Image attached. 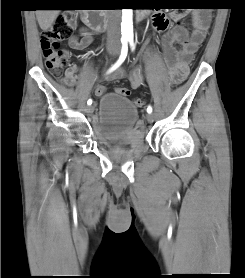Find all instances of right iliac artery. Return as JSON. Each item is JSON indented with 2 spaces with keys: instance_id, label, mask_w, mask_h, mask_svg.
Returning <instances> with one entry per match:
<instances>
[{
  "instance_id": "right-iliac-artery-1",
  "label": "right iliac artery",
  "mask_w": 245,
  "mask_h": 278,
  "mask_svg": "<svg viewBox=\"0 0 245 278\" xmlns=\"http://www.w3.org/2000/svg\"><path fill=\"white\" fill-rule=\"evenodd\" d=\"M121 42H122V50H121L120 58H119V60L111 67L110 72H111L112 70H114L115 68H117L118 66H120V65L122 64V62L125 60L126 56H127V52H128L127 39H126V38H122V39H121ZM87 104H88V105H91V104H92V100L89 99V100L87 101Z\"/></svg>"
}]
</instances>
